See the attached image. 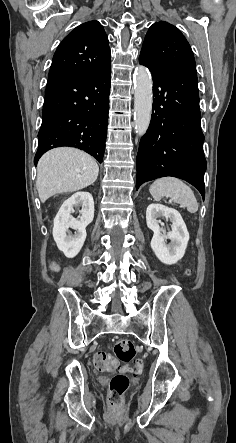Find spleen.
<instances>
[{"label":"spleen","mask_w":236,"mask_h":443,"mask_svg":"<svg viewBox=\"0 0 236 443\" xmlns=\"http://www.w3.org/2000/svg\"><path fill=\"white\" fill-rule=\"evenodd\" d=\"M149 192L156 201L166 196L175 203L186 207L190 213L198 211V203L192 189L177 178H159L151 184Z\"/></svg>","instance_id":"3e777b00"}]
</instances>
